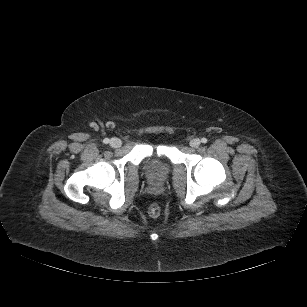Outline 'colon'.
I'll return each instance as SVG.
<instances>
[{
  "instance_id": "colon-1",
  "label": "colon",
  "mask_w": 307,
  "mask_h": 307,
  "mask_svg": "<svg viewBox=\"0 0 307 307\" xmlns=\"http://www.w3.org/2000/svg\"><path fill=\"white\" fill-rule=\"evenodd\" d=\"M161 213V208L158 204H152L150 207H149V214L150 216L152 217H158Z\"/></svg>"
}]
</instances>
